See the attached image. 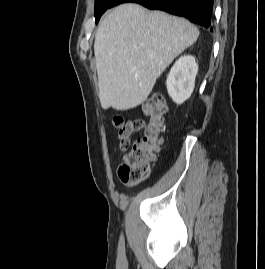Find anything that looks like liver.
I'll use <instances>...</instances> for the list:
<instances>
[{"label": "liver", "mask_w": 265, "mask_h": 269, "mask_svg": "<svg viewBox=\"0 0 265 269\" xmlns=\"http://www.w3.org/2000/svg\"><path fill=\"white\" fill-rule=\"evenodd\" d=\"M197 27L161 11L122 4L101 21L94 43L101 107L143 103L169 64L198 39Z\"/></svg>", "instance_id": "liver-1"}]
</instances>
